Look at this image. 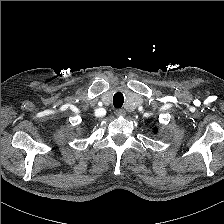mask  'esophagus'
<instances>
[{"mask_svg":"<svg viewBox=\"0 0 224 224\" xmlns=\"http://www.w3.org/2000/svg\"><path fill=\"white\" fill-rule=\"evenodd\" d=\"M115 114H116L117 116H125V115H126V111H125L124 109H117V110L115 111Z\"/></svg>","mask_w":224,"mask_h":224,"instance_id":"esophagus-1","label":"esophagus"}]
</instances>
